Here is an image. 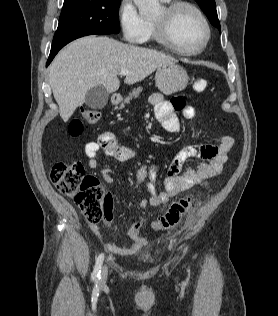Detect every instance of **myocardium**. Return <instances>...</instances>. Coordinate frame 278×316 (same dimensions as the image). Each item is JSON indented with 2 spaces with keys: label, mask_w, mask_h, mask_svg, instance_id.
<instances>
[{
  "label": "myocardium",
  "mask_w": 278,
  "mask_h": 316,
  "mask_svg": "<svg viewBox=\"0 0 278 316\" xmlns=\"http://www.w3.org/2000/svg\"><path fill=\"white\" fill-rule=\"evenodd\" d=\"M182 8H189L191 9L201 20L204 28H205V39L202 45L195 49V50H187L181 47L171 29V23L174 15ZM153 27L155 36L158 41L167 47L171 48L175 52L185 55V56H195L202 53L209 44L211 39V26L203 13V11L194 3L190 1L184 0H172L169 4L163 7V16L159 19H153Z\"/></svg>",
  "instance_id": "1"
}]
</instances>
